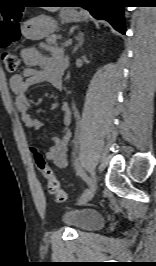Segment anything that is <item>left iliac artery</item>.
<instances>
[{
  "label": "left iliac artery",
  "mask_w": 156,
  "mask_h": 266,
  "mask_svg": "<svg viewBox=\"0 0 156 266\" xmlns=\"http://www.w3.org/2000/svg\"><path fill=\"white\" fill-rule=\"evenodd\" d=\"M74 166H75V168L77 170V173L87 182L88 188L92 189L93 188L92 182H89V178L83 172L78 160H75Z\"/></svg>",
  "instance_id": "obj_1"
}]
</instances>
